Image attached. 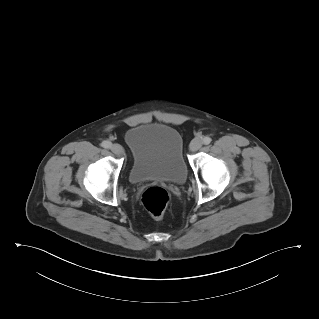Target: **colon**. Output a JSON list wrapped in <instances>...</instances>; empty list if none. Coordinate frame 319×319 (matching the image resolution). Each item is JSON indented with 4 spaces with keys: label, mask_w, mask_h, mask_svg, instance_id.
<instances>
[{
    "label": "colon",
    "mask_w": 319,
    "mask_h": 319,
    "mask_svg": "<svg viewBox=\"0 0 319 319\" xmlns=\"http://www.w3.org/2000/svg\"><path fill=\"white\" fill-rule=\"evenodd\" d=\"M170 197L168 192L160 186H152L145 190L142 203L152 217L160 219L163 217L168 206Z\"/></svg>",
    "instance_id": "1"
}]
</instances>
